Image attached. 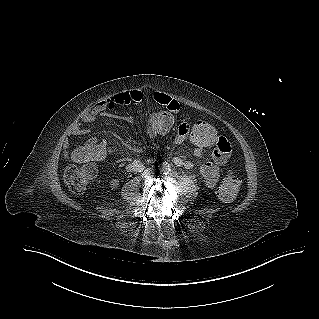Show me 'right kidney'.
<instances>
[{"label":"right kidney","instance_id":"1","mask_svg":"<svg viewBox=\"0 0 319 319\" xmlns=\"http://www.w3.org/2000/svg\"><path fill=\"white\" fill-rule=\"evenodd\" d=\"M118 186H119V180H117V179H112V180L110 181V187H111L112 189H116Z\"/></svg>","mask_w":319,"mask_h":319}]
</instances>
